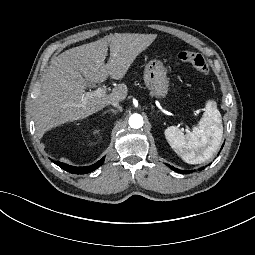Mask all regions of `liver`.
<instances>
[{
  "label": "liver",
  "mask_w": 255,
  "mask_h": 255,
  "mask_svg": "<svg viewBox=\"0 0 255 255\" xmlns=\"http://www.w3.org/2000/svg\"><path fill=\"white\" fill-rule=\"evenodd\" d=\"M157 34L116 33L66 50L51 60L37 101L35 125L38 137L67 121L83 119L103 109L110 101H122L128 88L118 84L104 97L84 99L87 83L104 82L108 76L122 79L135 58ZM108 46L110 58L104 63Z\"/></svg>",
  "instance_id": "6515ba94"
}]
</instances>
